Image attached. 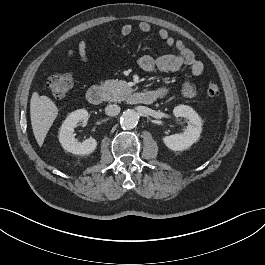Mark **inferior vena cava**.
I'll list each match as a JSON object with an SVG mask.
<instances>
[{"mask_svg": "<svg viewBox=\"0 0 265 265\" xmlns=\"http://www.w3.org/2000/svg\"><path fill=\"white\" fill-rule=\"evenodd\" d=\"M119 112H120V107L116 104L107 105L105 108V113L108 116H116L119 114Z\"/></svg>", "mask_w": 265, "mask_h": 265, "instance_id": "1", "label": "inferior vena cava"}]
</instances>
